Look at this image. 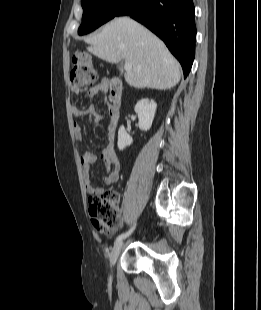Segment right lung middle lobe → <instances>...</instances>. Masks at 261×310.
Instances as JSON below:
<instances>
[{
    "mask_svg": "<svg viewBox=\"0 0 261 310\" xmlns=\"http://www.w3.org/2000/svg\"><path fill=\"white\" fill-rule=\"evenodd\" d=\"M127 1L128 0H81L83 16L78 34H87L114 18L119 9Z\"/></svg>",
    "mask_w": 261,
    "mask_h": 310,
    "instance_id": "right-lung-middle-lobe-1",
    "label": "right lung middle lobe"
}]
</instances>
